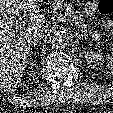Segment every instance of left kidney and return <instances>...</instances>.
Here are the masks:
<instances>
[{"instance_id": "obj_1", "label": "left kidney", "mask_w": 113, "mask_h": 113, "mask_svg": "<svg viewBox=\"0 0 113 113\" xmlns=\"http://www.w3.org/2000/svg\"><path fill=\"white\" fill-rule=\"evenodd\" d=\"M85 59L89 68L96 69L97 65H99V61L101 60V55L96 54L94 51H87L85 52Z\"/></svg>"}]
</instances>
